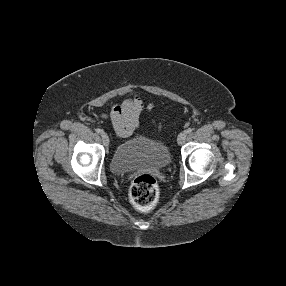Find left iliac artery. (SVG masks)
<instances>
[{
	"label": "left iliac artery",
	"mask_w": 286,
	"mask_h": 286,
	"mask_svg": "<svg viewBox=\"0 0 286 286\" xmlns=\"http://www.w3.org/2000/svg\"><path fill=\"white\" fill-rule=\"evenodd\" d=\"M192 132V128H188L187 130H186V133H188V134H190Z\"/></svg>",
	"instance_id": "left-iliac-artery-1"
}]
</instances>
